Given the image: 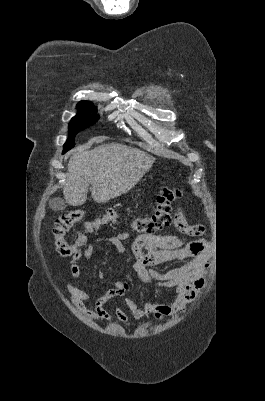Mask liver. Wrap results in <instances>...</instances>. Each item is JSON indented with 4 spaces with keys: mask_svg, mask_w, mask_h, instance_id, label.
<instances>
[{
    "mask_svg": "<svg viewBox=\"0 0 265 401\" xmlns=\"http://www.w3.org/2000/svg\"><path fill=\"white\" fill-rule=\"evenodd\" d=\"M92 142L73 148L68 160L63 194L72 207L86 203L90 184L95 203H108L110 198L121 196L137 184L155 160L144 150L121 142L90 148Z\"/></svg>",
    "mask_w": 265,
    "mask_h": 401,
    "instance_id": "6515ba94",
    "label": "liver"
}]
</instances>
